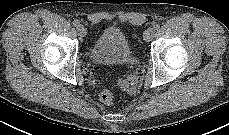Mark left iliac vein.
Returning <instances> with one entry per match:
<instances>
[{
  "instance_id": "left-iliac-vein-1",
  "label": "left iliac vein",
  "mask_w": 229,
  "mask_h": 135,
  "mask_svg": "<svg viewBox=\"0 0 229 135\" xmlns=\"http://www.w3.org/2000/svg\"><path fill=\"white\" fill-rule=\"evenodd\" d=\"M154 29L153 28H148L145 30L144 34H143V38L146 42H150L153 37H154Z\"/></svg>"
}]
</instances>
